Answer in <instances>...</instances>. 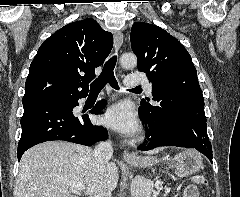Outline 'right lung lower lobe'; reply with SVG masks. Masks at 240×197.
<instances>
[{
    "mask_svg": "<svg viewBox=\"0 0 240 197\" xmlns=\"http://www.w3.org/2000/svg\"><path fill=\"white\" fill-rule=\"evenodd\" d=\"M86 96L63 94L55 98L23 103L18 161L26 150L45 141L64 140L91 146L105 140L107 133L102 126H94L88 116H76L72 112L73 108L79 105L78 99ZM104 106L105 101H99L90 112L98 113Z\"/></svg>",
    "mask_w": 240,
    "mask_h": 197,
    "instance_id": "right-lung-lower-lobe-1",
    "label": "right lung lower lobe"
}]
</instances>
